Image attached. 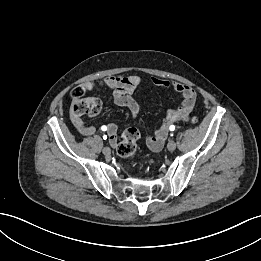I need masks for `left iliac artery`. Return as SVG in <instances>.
Listing matches in <instances>:
<instances>
[{"label":"left iliac artery","mask_w":261,"mask_h":261,"mask_svg":"<svg viewBox=\"0 0 261 261\" xmlns=\"http://www.w3.org/2000/svg\"><path fill=\"white\" fill-rule=\"evenodd\" d=\"M169 129H170V131H174L175 130V126L171 125Z\"/></svg>","instance_id":"1"}]
</instances>
